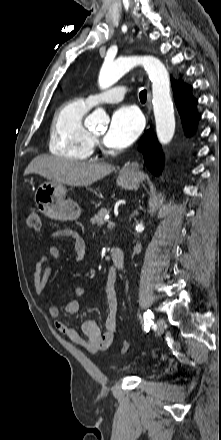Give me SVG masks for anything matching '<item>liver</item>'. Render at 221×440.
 <instances>
[{
    "mask_svg": "<svg viewBox=\"0 0 221 440\" xmlns=\"http://www.w3.org/2000/svg\"><path fill=\"white\" fill-rule=\"evenodd\" d=\"M114 169L107 163L79 162L41 155L30 162L24 175L35 173L63 185L84 187L102 179Z\"/></svg>",
    "mask_w": 221,
    "mask_h": 440,
    "instance_id": "liver-1",
    "label": "liver"
}]
</instances>
